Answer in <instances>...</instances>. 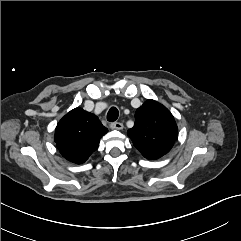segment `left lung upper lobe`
Masks as SVG:
<instances>
[{"mask_svg":"<svg viewBox=\"0 0 241 241\" xmlns=\"http://www.w3.org/2000/svg\"><path fill=\"white\" fill-rule=\"evenodd\" d=\"M127 133L146 159L156 160L171 150L178 128L165 106L154 100H147L137 109L134 127Z\"/></svg>","mask_w":241,"mask_h":241,"instance_id":"left-lung-upper-lobe-1","label":"left lung upper lobe"}]
</instances>
